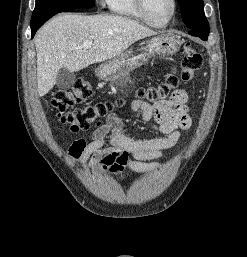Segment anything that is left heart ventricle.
Masks as SVG:
<instances>
[{
    "mask_svg": "<svg viewBox=\"0 0 247 257\" xmlns=\"http://www.w3.org/2000/svg\"><path fill=\"white\" fill-rule=\"evenodd\" d=\"M146 6L150 17L158 22L166 21L172 13V0H146Z\"/></svg>",
    "mask_w": 247,
    "mask_h": 257,
    "instance_id": "1",
    "label": "left heart ventricle"
}]
</instances>
